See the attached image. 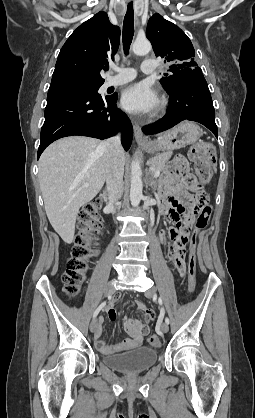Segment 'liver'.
<instances>
[{"label": "liver", "mask_w": 255, "mask_h": 418, "mask_svg": "<svg viewBox=\"0 0 255 418\" xmlns=\"http://www.w3.org/2000/svg\"><path fill=\"white\" fill-rule=\"evenodd\" d=\"M102 141L71 136L52 143L39 159V182L50 224L63 241L74 239L76 217L106 179ZM122 159L126 156L122 149ZM88 186H84L85 184Z\"/></svg>", "instance_id": "liver-1"}]
</instances>
